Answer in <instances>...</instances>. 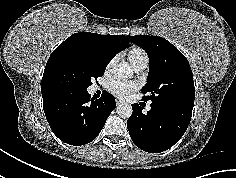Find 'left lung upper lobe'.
Masks as SVG:
<instances>
[{
    "label": "left lung upper lobe",
    "instance_id": "obj_1",
    "mask_svg": "<svg viewBox=\"0 0 236 178\" xmlns=\"http://www.w3.org/2000/svg\"><path fill=\"white\" fill-rule=\"evenodd\" d=\"M143 48L150 61L149 74L142 92L152 103L193 109L195 87L186 57L169 41L156 36H128Z\"/></svg>",
    "mask_w": 236,
    "mask_h": 178
}]
</instances>
